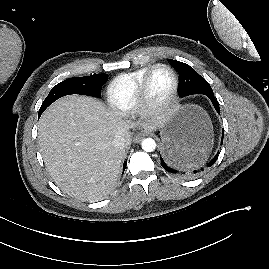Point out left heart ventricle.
Listing matches in <instances>:
<instances>
[{"label": "left heart ventricle", "mask_w": 269, "mask_h": 269, "mask_svg": "<svg viewBox=\"0 0 269 269\" xmlns=\"http://www.w3.org/2000/svg\"><path fill=\"white\" fill-rule=\"evenodd\" d=\"M171 73L165 68H157L151 75L148 84V96L151 101H162L172 87Z\"/></svg>", "instance_id": "left-heart-ventricle-1"}]
</instances>
